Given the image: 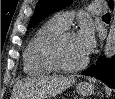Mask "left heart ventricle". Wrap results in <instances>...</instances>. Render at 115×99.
<instances>
[{
  "label": "left heart ventricle",
  "mask_w": 115,
  "mask_h": 99,
  "mask_svg": "<svg viewBox=\"0 0 115 99\" xmlns=\"http://www.w3.org/2000/svg\"><path fill=\"white\" fill-rule=\"evenodd\" d=\"M59 57L64 64L74 66L83 62L87 56L83 53L77 36L74 35L67 38L61 44L59 48Z\"/></svg>",
  "instance_id": "b2bd125f"
}]
</instances>
